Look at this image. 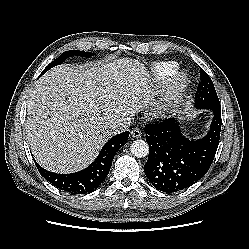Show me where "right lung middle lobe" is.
<instances>
[{"mask_svg":"<svg viewBox=\"0 0 249 249\" xmlns=\"http://www.w3.org/2000/svg\"><path fill=\"white\" fill-rule=\"evenodd\" d=\"M94 53H90V52H84V51H78V50H69V51H66L64 53H62L61 56H59L57 59H55L54 61H52L45 69L44 71L42 72L45 73L47 70H49L50 68L56 66V65H59L61 64L63 61H65L68 57H71V56H82V57H91L93 56ZM41 74V75H42Z\"/></svg>","mask_w":249,"mask_h":249,"instance_id":"dd1d6c3e","label":"right lung middle lobe"}]
</instances>
